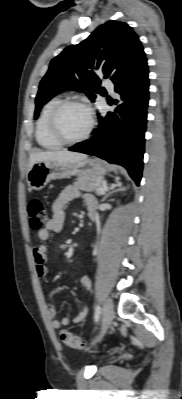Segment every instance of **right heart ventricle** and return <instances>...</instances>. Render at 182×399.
<instances>
[{"label": "right heart ventricle", "instance_id": "e07e8e85", "mask_svg": "<svg viewBox=\"0 0 182 399\" xmlns=\"http://www.w3.org/2000/svg\"><path fill=\"white\" fill-rule=\"evenodd\" d=\"M61 101V98L54 97L50 99L43 107L36 124V141L45 149H57L62 144L58 142L50 133L49 117L53 108Z\"/></svg>", "mask_w": 182, "mask_h": 399}]
</instances>
